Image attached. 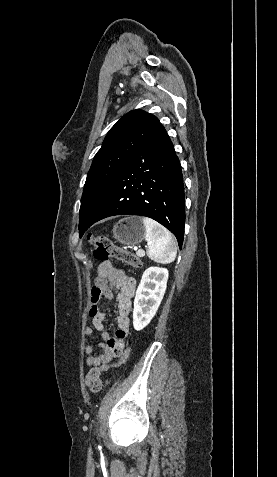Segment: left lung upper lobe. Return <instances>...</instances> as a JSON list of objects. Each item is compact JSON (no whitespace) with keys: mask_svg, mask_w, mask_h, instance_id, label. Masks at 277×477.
Returning a JSON list of instances; mask_svg holds the SVG:
<instances>
[{"mask_svg":"<svg viewBox=\"0 0 277 477\" xmlns=\"http://www.w3.org/2000/svg\"><path fill=\"white\" fill-rule=\"evenodd\" d=\"M164 130L159 120L142 110H133L108 132L88 172L81 198L79 229L91 219L113 178L147 142Z\"/></svg>","mask_w":277,"mask_h":477,"instance_id":"left-lung-upper-lobe-1","label":"left lung upper lobe"}]
</instances>
